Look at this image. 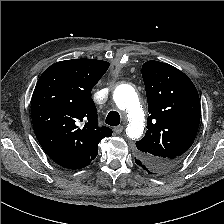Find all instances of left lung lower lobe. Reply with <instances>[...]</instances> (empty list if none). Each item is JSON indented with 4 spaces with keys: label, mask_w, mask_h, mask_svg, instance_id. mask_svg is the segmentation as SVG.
Here are the masks:
<instances>
[{
    "label": "left lung lower lobe",
    "mask_w": 224,
    "mask_h": 224,
    "mask_svg": "<svg viewBox=\"0 0 224 224\" xmlns=\"http://www.w3.org/2000/svg\"><path fill=\"white\" fill-rule=\"evenodd\" d=\"M137 165H139L143 170L147 171L149 174H152L147 165L143 164L140 160L135 159Z\"/></svg>",
    "instance_id": "1"
}]
</instances>
